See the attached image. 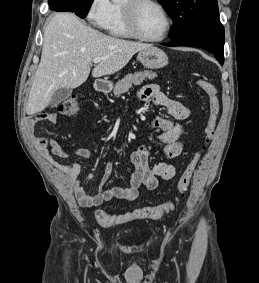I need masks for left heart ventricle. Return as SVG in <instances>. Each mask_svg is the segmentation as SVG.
I'll list each match as a JSON object with an SVG mask.
<instances>
[{
	"mask_svg": "<svg viewBox=\"0 0 259 283\" xmlns=\"http://www.w3.org/2000/svg\"><path fill=\"white\" fill-rule=\"evenodd\" d=\"M138 25L144 35L157 38L166 30V19L158 7L144 4L138 11Z\"/></svg>",
	"mask_w": 259,
	"mask_h": 283,
	"instance_id": "obj_1",
	"label": "left heart ventricle"
}]
</instances>
